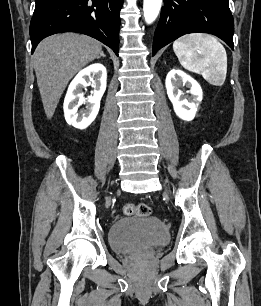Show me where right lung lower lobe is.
Returning <instances> with one entry per match:
<instances>
[{
    "label": "right lung lower lobe",
    "mask_w": 261,
    "mask_h": 306,
    "mask_svg": "<svg viewBox=\"0 0 261 306\" xmlns=\"http://www.w3.org/2000/svg\"><path fill=\"white\" fill-rule=\"evenodd\" d=\"M30 23L32 53L45 37L62 32L89 35L109 46L116 55L119 48V13L123 0H35Z\"/></svg>",
    "instance_id": "1"
}]
</instances>
